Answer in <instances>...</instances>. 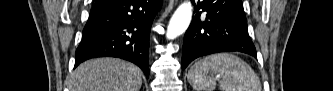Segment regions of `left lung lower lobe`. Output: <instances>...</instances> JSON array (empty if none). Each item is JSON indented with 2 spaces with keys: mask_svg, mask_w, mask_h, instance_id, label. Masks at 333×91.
I'll return each mask as SVG.
<instances>
[{
  "mask_svg": "<svg viewBox=\"0 0 333 91\" xmlns=\"http://www.w3.org/2000/svg\"><path fill=\"white\" fill-rule=\"evenodd\" d=\"M192 3L195 16L184 36L182 69L198 57L218 52L239 51L256 57L241 0Z\"/></svg>",
  "mask_w": 333,
  "mask_h": 91,
  "instance_id": "0a47b994",
  "label": "left lung lower lobe"
}]
</instances>
